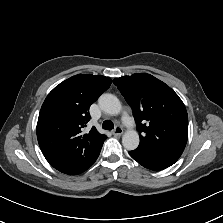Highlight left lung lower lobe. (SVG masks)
I'll list each match as a JSON object with an SVG mask.
<instances>
[{
	"label": "left lung lower lobe",
	"mask_w": 223,
	"mask_h": 223,
	"mask_svg": "<svg viewBox=\"0 0 223 223\" xmlns=\"http://www.w3.org/2000/svg\"><path fill=\"white\" fill-rule=\"evenodd\" d=\"M129 154L139 164H141L145 168H148L151 170L165 169L175 163V162L169 161V160H163V159L149 157V156H146L143 154L136 153L135 151H130Z\"/></svg>",
	"instance_id": "left-lung-lower-lobe-1"
}]
</instances>
